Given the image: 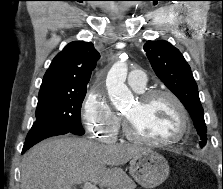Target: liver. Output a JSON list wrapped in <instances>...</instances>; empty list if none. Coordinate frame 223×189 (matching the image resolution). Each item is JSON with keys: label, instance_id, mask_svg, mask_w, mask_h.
I'll use <instances>...</instances> for the list:
<instances>
[{"label": "liver", "instance_id": "obj_1", "mask_svg": "<svg viewBox=\"0 0 223 189\" xmlns=\"http://www.w3.org/2000/svg\"><path fill=\"white\" fill-rule=\"evenodd\" d=\"M143 151L139 146L104 145L83 138H50L24 155L21 189H72L85 182L126 189L129 178L119 166Z\"/></svg>", "mask_w": 223, "mask_h": 189}]
</instances>
